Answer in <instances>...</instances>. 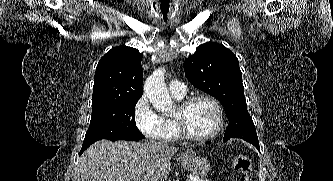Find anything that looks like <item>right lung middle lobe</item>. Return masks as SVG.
<instances>
[{
	"label": "right lung middle lobe",
	"instance_id": "dd1d6c3e",
	"mask_svg": "<svg viewBox=\"0 0 333 181\" xmlns=\"http://www.w3.org/2000/svg\"><path fill=\"white\" fill-rule=\"evenodd\" d=\"M136 100L116 102L93 108L90 126L86 132L83 146L98 140H140L144 135L135 124L134 110Z\"/></svg>",
	"mask_w": 333,
	"mask_h": 181
}]
</instances>
